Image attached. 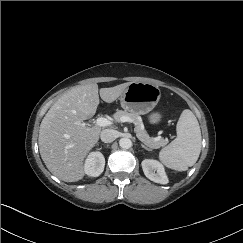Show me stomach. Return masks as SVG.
I'll return each mask as SVG.
<instances>
[{
	"label": "stomach",
	"instance_id": "1",
	"mask_svg": "<svg viewBox=\"0 0 243 243\" xmlns=\"http://www.w3.org/2000/svg\"><path fill=\"white\" fill-rule=\"evenodd\" d=\"M161 97V90L154 84L146 82H131L120 96L121 107L128 112L138 115L150 113L157 105ZM162 120L159 112L151 113L148 121L158 124Z\"/></svg>",
	"mask_w": 243,
	"mask_h": 243
}]
</instances>
